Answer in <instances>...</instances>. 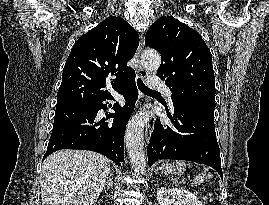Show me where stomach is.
Wrapping results in <instances>:
<instances>
[{
    "instance_id": "1",
    "label": "stomach",
    "mask_w": 269,
    "mask_h": 205,
    "mask_svg": "<svg viewBox=\"0 0 269 205\" xmlns=\"http://www.w3.org/2000/svg\"><path fill=\"white\" fill-rule=\"evenodd\" d=\"M165 175H179L185 171V165L182 162L164 163L159 167Z\"/></svg>"
}]
</instances>
